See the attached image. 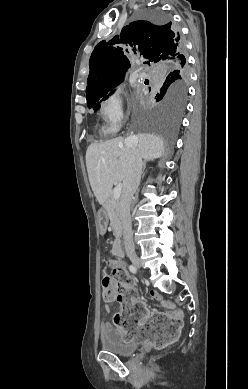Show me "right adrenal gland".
Wrapping results in <instances>:
<instances>
[{
    "label": "right adrenal gland",
    "mask_w": 248,
    "mask_h": 389,
    "mask_svg": "<svg viewBox=\"0 0 248 389\" xmlns=\"http://www.w3.org/2000/svg\"><path fill=\"white\" fill-rule=\"evenodd\" d=\"M145 168H146V161H144V163H143L142 176H144V171H145Z\"/></svg>",
    "instance_id": "obj_1"
}]
</instances>
